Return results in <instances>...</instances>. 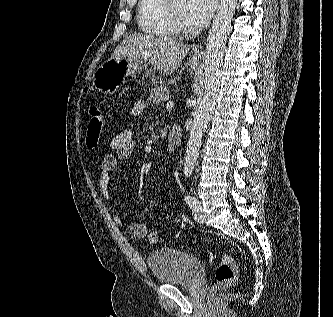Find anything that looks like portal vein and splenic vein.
Returning <instances> with one entry per match:
<instances>
[{
  "instance_id": "1",
  "label": "portal vein and splenic vein",
  "mask_w": 333,
  "mask_h": 317,
  "mask_svg": "<svg viewBox=\"0 0 333 317\" xmlns=\"http://www.w3.org/2000/svg\"><path fill=\"white\" fill-rule=\"evenodd\" d=\"M166 101H167L166 108L171 109L174 106V102L169 100V98H166Z\"/></svg>"
}]
</instances>
